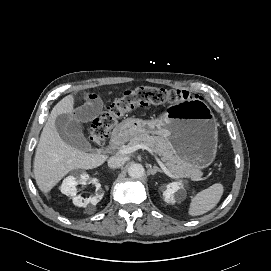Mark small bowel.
Listing matches in <instances>:
<instances>
[{
  "instance_id": "1",
  "label": "small bowel",
  "mask_w": 271,
  "mask_h": 271,
  "mask_svg": "<svg viewBox=\"0 0 271 271\" xmlns=\"http://www.w3.org/2000/svg\"><path fill=\"white\" fill-rule=\"evenodd\" d=\"M150 105L137 107L147 111ZM101 99L96 94H89L86 102L76 106L66 114L59 115L55 121V127L70 144L75 147L84 146V137L80 125L95 118L101 111Z\"/></svg>"
}]
</instances>
